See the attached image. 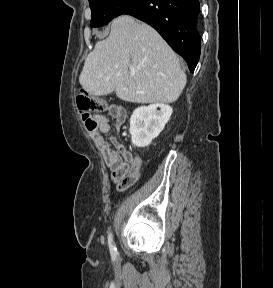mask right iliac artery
Segmentation results:
<instances>
[{"mask_svg": "<svg viewBox=\"0 0 273 288\" xmlns=\"http://www.w3.org/2000/svg\"><path fill=\"white\" fill-rule=\"evenodd\" d=\"M108 244H109V249L112 255H115L117 253V249L113 244V236L111 233L108 235Z\"/></svg>", "mask_w": 273, "mask_h": 288, "instance_id": "1", "label": "right iliac artery"}]
</instances>
